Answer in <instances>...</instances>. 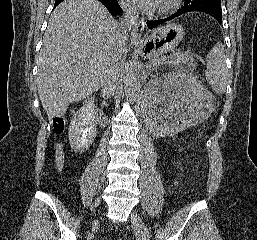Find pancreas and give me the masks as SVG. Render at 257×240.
<instances>
[{
	"label": "pancreas",
	"instance_id": "1",
	"mask_svg": "<svg viewBox=\"0 0 257 240\" xmlns=\"http://www.w3.org/2000/svg\"><path fill=\"white\" fill-rule=\"evenodd\" d=\"M161 64L172 66L187 65L191 70H194L197 66L196 61L190 55L181 51L173 52L170 56L161 58L159 64L155 67Z\"/></svg>",
	"mask_w": 257,
	"mask_h": 240
}]
</instances>
